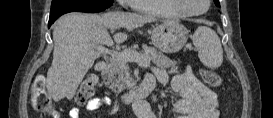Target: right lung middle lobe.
Returning <instances> with one entry per match:
<instances>
[{"mask_svg": "<svg viewBox=\"0 0 273 118\" xmlns=\"http://www.w3.org/2000/svg\"><path fill=\"white\" fill-rule=\"evenodd\" d=\"M65 2L81 7L105 10L112 5L113 0H53L52 4Z\"/></svg>", "mask_w": 273, "mask_h": 118, "instance_id": "right-lung-middle-lobe-1", "label": "right lung middle lobe"}]
</instances>
